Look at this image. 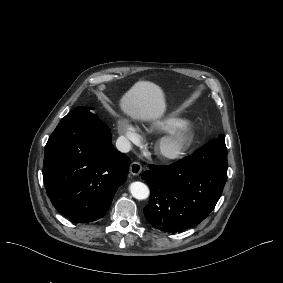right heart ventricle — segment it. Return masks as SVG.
I'll return each instance as SVG.
<instances>
[{
	"mask_svg": "<svg viewBox=\"0 0 283 283\" xmlns=\"http://www.w3.org/2000/svg\"><path fill=\"white\" fill-rule=\"evenodd\" d=\"M181 122H183L182 117L169 116L157 121L156 125L161 130L169 131L176 128Z\"/></svg>",
	"mask_w": 283,
	"mask_h": 283,
	"instance_id": "obj_1",
	"label": "right heart ventricle"
}]
</instances>
